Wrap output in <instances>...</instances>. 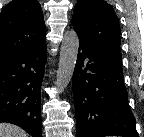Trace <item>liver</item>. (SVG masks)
Wrapping results in <instances>:
<instances>
[{
  "label": "liver",
  "mask_w": 144,
  "mask_h": 137,
  "mask_svg": "<svg viewBox=\"0 0 144 137\" xmlns=\"http://www.w3.org/2000/svg\"><path fill=\"white\" fill-rule=\"evenodd\" d=\"M0 137H28V134L16 125L0 123Z\"/></svg>",
  "instance_id": "liver-1"
}]
</instances>
